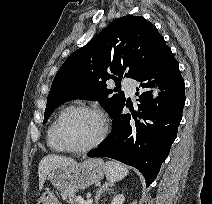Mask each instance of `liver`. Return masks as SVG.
<instances>
[{"label": "liver", "mask_w": 212, "mask_h": 204, "mask_svg": "<svg viewBox=\"0 0 212 204\" xmlns=\"http://www.w3.org/2000/svg\"><path fill=\"white\" fill-rule=\"evenodd\" d=\"M74 160L68 157H61L58 155H46L42 158L38 166V174H39V189L42 190L46 177L49 171L58 165L71 163Z\"/></svg>", "instance_id": "6515ba94"}]
</instances>
